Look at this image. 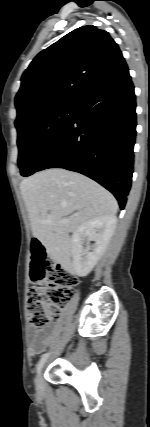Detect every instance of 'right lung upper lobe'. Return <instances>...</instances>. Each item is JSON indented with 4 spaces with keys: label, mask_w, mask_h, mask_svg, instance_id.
Listing matches in <instances>:
<instances>
[{
    "label": "right lung upper lobe",
    "mask_w": 150,
    "mask_h": 427,
    "mask_svg": "<svg viewBox=\"0 0 150 427\" xmlns=\"http://www.w3.org/2000/svg\"><path fill=\"white\" fill-rule=\"evenodd\" d=\"M126 69L108 32L92 25L77 28L41 51L22 75L15 97L17 119L42 107L78 106Z\"/></svg>",
    "instance_id": "obj_1"
}]
</instances>
